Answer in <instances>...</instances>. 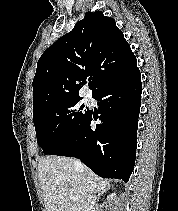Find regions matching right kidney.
Wrapping results in <instances>:
<instances>
[{"label":"right kidney","instance_id":"1","mask_svg":"<svg viewBox=\"0 0 178 211\" xmlns=\"http://www.w3.org/2000/svg\"><path fill=\"white\" fill-rule=\"evenodd\" d=\"M116 198V193H112L111 195L107 196V200H113Z\"/></svg>","mask_w":178,"mask_h":211}]
</instances>
